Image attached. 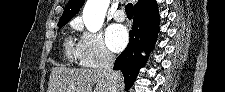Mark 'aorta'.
<instances>
[{
	"label": "aorta",
	"instance_id": "762f6f07",
	"mask_svg": "<svg viewBox=\"0 0 225 92\" xmlns=\"http://www.w3.org/2000/svg\"><path fill=\"white\" fill-rule=\"evenodd\" d=\"M110 0H87L83 9V22L88 31L95 33L103 25Z\"/></svg>",
	"mask_w": 225,
	"mask_h": 92
}]
</instances>
